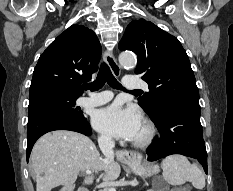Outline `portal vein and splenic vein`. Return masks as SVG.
Wrapping results in <instances>:
<instances>
[{"label":"portal vein and splenic vein","instance_id":"18ae733b","mask_svg":"<svg viewBox=\"0 0 233 191\" xmlns=\"http://www.w3.org/2000/svg\"><path fill=\"white\" fill-rule=\"evenodd\" d=\"M92 173V171L91 170H86V174H91ZM109 191H116L115 190V188H109ZM149 191H151V190H149Z\"/></svg>","mask_w":233,"mask_h":191}]
</instances>
